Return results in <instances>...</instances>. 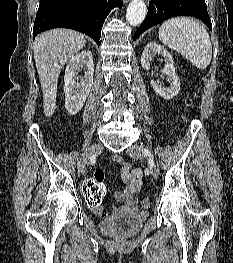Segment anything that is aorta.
Returning a JSON list of instances; mask_svg holds the SVG:
<instances>
[{"label": "aorta", "instance_id": "obj_1", "mask_svg": "<svg viewBox=\"0 0 233 263\" xmlns=\"http://www.w3.org/2000/svg\"><path fill=\"white\" fill-rule=\"evenodd\" d=\"M147 7L143 0H132L126 11V19L132 26H137L146 17Z\"/></svg>", "mask_w": 233, "mask_h": 263}]
</instances>
